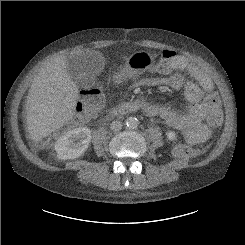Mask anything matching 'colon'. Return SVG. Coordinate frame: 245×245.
Returning a JSON list of instances; mask_svg holds the SVG:
<instances>
[{
  "label": "colon",
  "mask_w": 245,
  "mask_h": 245,
  "mask_svg": "<svg viewBox=\"0 0 245 245\" xmlns=\"http://www.w3.org/2000/svg\"><path fill=\"white\" fill-rule=\"evenodd\" d=\"M168 54L167 56H170ZM163 69V66L161 67ZM103 86L94 83L82 91V96L76 106V114L72 120L73 126L86 124L95 117L103 107ZM207 105L214 109L219 104V96L216 92H210L206 97ZM222 120L220 113L214 111L210 117V122L214 126H219ZM204 146L200 144L180 143L172 147V154L178 158H191L199 156L204 151Z\"/></svg>",
  "instance_id": "obj_1"
}]
</instances>
